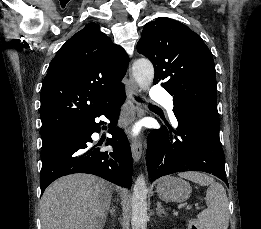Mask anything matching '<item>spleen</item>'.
<instances>
[{
	"mask_svg": "<svg viewBox=\"0 0 261 229\" xmlns=\"http://www.w3.org/2000/svg\"><path fill=\"white\" fill-rule=\"evenodd\" d=\"M178 177L188 179L192 183L198 185H209L206 193L205 201L208 209L197 215L200 229H228L229 225V205L226 191L220 183H215L212 177L204 175V173H179Z\"/></svg>",
	"mask_w": 261,
	"mask_h": 229,
	"instance_id": "1",
	"label": "spleen"
}]
</instances>
